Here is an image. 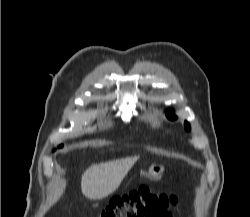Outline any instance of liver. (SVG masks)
Segmentation results:
<instances>
[{
	"instance_id": "1",
	"label": "liver",
	"mask_w": 250,
	"mask_h": 217,
	"mask_svg": "<svg viewBox=\"0 0 250 217\" xmlns=\"http://www.w3.org/2000/svg\"><path fill=\"white\" fill-rule=\"evenodd\" d=\"M138 158L132 156L90 166L82 175L83 195L90 200H101L112 194Z\"/></svg>"
}]
</instances>
